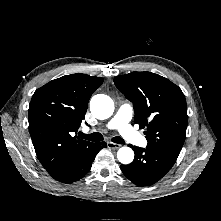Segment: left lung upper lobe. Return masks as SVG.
<instances>
[{
	"instance_id": "left-lung-upper-lobe-1",
	"label": "left lung upper lobe",
	"mask_w": 221,
	"mask_h": 221,
	"mask_svg": "<svg viewBox=\"0 0 221 221\" xmlns=\"http://www.w3.org/2000/svg\"><path fill=\"white\" fill-rule=\"evenodd\" d=\"M114 83L133 103L135 123L146 129L147 147L178 157L188 122L186 100L181 89L151 72L116 76Z\"/></svg>"
}]
</instances>
